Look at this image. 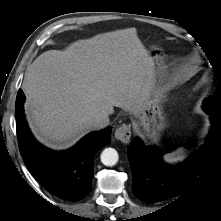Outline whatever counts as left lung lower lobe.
Returning <instances> with one entry per match:
<instances>
[{"mask_svg": "<svg viewBox=\"0 0 221 221\" xmlns=\"http://www.w3.org/2000/svg\"><path fill=\"white\" fill-rule=\"evenodd\" d=\"M206 111L211 115L209 137L201 149L183 164L166 165L160 151L156 147L143 146L139 138L130 143L128 158L132 170V189L141 201L155 203L174 197L191 187L204 173L215 148L221 146V112Z\"/></svg>", "mask_w": 221, "mask_h": 221, "instance_id": "0a47b994", "label": "left lung lower lobe"}]
</instances>
